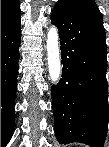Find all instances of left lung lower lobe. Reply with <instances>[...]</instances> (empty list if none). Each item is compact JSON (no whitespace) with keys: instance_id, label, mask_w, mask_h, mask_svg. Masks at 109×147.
Segmentation results:
<instances>
[{"instance_id":"left-lung-lower-lobe-1","label":"left lung lower lobe","mask_w":109,"mask_h":147,"mask_svg":"<svg viewBox=\"0 0 109 147\" xmlns=\"http://www.w3.org/2000/svg\"><path fill=\"white\" fill-rule=\"evenodd\" d=\"M51 21L59 31L63 64L62 78L52 87L56 138L103 147L109 99L105 29L61 5H55ZM69 73L79 75V88L67 86Z\"/></svg>"}]
</instances>
